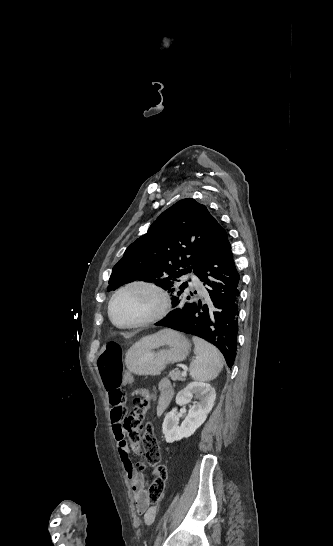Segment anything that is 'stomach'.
Segmentation results:
<instances>
[{
    "label": "stomach",
    "mask_w": 333,
    "mask_h": 546,
    "mask_svg": "<svg viewBox=\"0 0 333 546\" xmlns=\"http://www.w3.org/2000/svg\"><path fill=\"white\" fill-rule=\"evenodd\" d=\"M190 350L191 343L185 335L163 329L133 344L126 353L125 365L131 373L157 376L168 364L185 360Z\"/></svg>",
    "instance_id": "stomach-1"
}]
</instances>
